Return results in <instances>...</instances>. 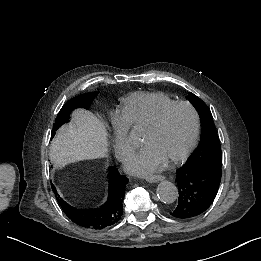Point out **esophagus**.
Segmentation results:
<instances>
[{
	"mask_svg": "<svg viewBox=\"0 0 261 261\" xmlns=\"http://www.w3.org/2000/svg\"><path fill=\"white\" fill-rule=\"evenodd\" d=\"M163 176L161 175H156V176H149V177H146V180L150 183H156L158 181H161L163 180Z\"/></svg>",
	"mask_w": 261,
	"mask_h": 261,
	"instance_id": "obj_1",
	"label": "esophagus"
}]
</instances>
